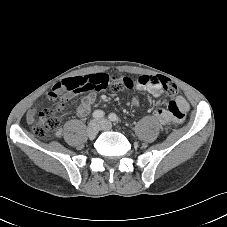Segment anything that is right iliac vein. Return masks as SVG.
Segmentation results:
<instances>
[{
  "mask_svg": "<svg viewBox=\"0 0 227 227\" xmlns=\"http://www.w3.org/2000/svg\"><path fill=\"white\" fill-rule=\"evenodd\" d=\"M100 130L99 123L96 120H93L89 123L87 127V134L89 137H95Z\"/></svg>",
  "mask_w": 227,
  "mask_h": 227,
  "instance_id": "right-iliac-vein-1",
  "label": "right iliac vein"
}]
</instances>
